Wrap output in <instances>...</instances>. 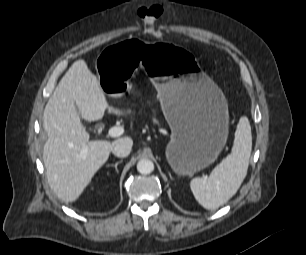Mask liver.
<instances>
[{
  "label": "liver",
  "mask_w": 306,
  "mask_h": 255,
  "mask_svg": "<svg viewBox=\"0 0 306 255\" xmlns=\"http://www.w3.org/2000/svg\"><path fill=\"white\" fill-rule=\"evenodd\" d=\"M106 109L115 115L126 114L109 105L86 62L75 61L49 98L43 114L48 136L43 148L47 180L64 202L76 201L81 196L119 140L89 141L90 136L80 121V117L89 122L100 120ZM84 147L87 152L82 155Z\"/></svg>",
  "instance_id": "1"
}]
</instances>
